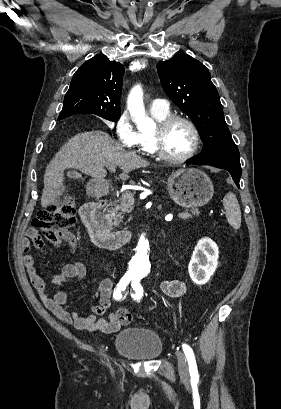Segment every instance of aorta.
<instances>
[{
  "label": "aorta",
  "mask_w": 281,
  "mask_h": 409,
  "mask_svg": "<svg viewBox=\"0 0 281 409\" xmlns=\"http://www.w3.org/2000/svg\"><path fill=\"white\" fill-rule=\"evenodd\" d=\"M128 108L139 130L147 131L153 127V121L145 114L141 91L131 95Z\"/></svg>",
  "instance_id": "aorta-1"
}]
</instances>
